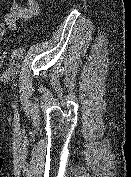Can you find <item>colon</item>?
Wrapping results in <instances>:
<instances>
[{
	"label": "colon",
	"mask_w": 131,
	"mask_h": 177,
	"mask_svg": "<svg viewBox=\"0 0 131 177\" xmlns=\"http://www.w3.org/2000/svg\"><path fill=\"white\" fill-rule=\"evenodd\" d=\"M5 60V52H0V67L3 65Z\"/></svg>",
	"instance_id": "5ec220e1"
}]
</instances>
